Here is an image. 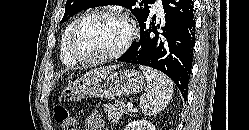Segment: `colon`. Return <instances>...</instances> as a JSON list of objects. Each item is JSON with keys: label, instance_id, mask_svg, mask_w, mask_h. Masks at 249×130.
<instances>
[{"label": "colon", "instance_id": "obj_1", "mask_svg": "<svg viewBox=\"0 0 249 130\" xmlns=\"http://www.w3.org/2000/svg\"><path fill=\"white\" fill-rule=\"evenodd\" d=\"M54 117L60 130H79L76 119L70 114L66 107L56 105L54 107Z\"/></svg>", "mask_w": 249, "mask_h": 130}]
</instances>
